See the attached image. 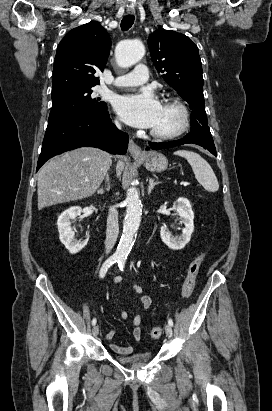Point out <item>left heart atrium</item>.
<instances>
[{
	"instance_id": "1",
	"label": "left heart atrium",
	"mask_w": 272,
	"mask_h": 411,
	"mask_svg": "<svg viewBox=\"0 0 272 411\" xmlns=\"http://www.w3.org/2000/svg\"><path fill=\"white\" fill-rule=\"evenodd\" d=\"M115 111L127 124L137 128H153L160 114L161 104L149 91L118 96Z\"/></svg>"
}]
</instances>
